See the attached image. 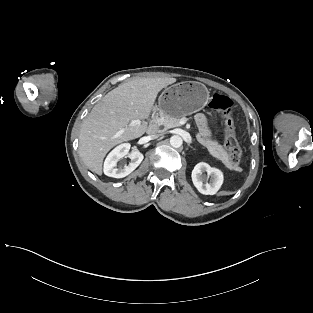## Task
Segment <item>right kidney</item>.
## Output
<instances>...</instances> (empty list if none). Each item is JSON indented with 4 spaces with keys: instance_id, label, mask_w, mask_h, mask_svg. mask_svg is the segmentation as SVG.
<instances>
[{
    "instance_id": "ca27d5eb",
    "label": "right kidney",
    "mask_w": 313,
    "mask_h": 313,
    "mask_svg": "<svg viewBox=\"0 0 313 313\" xmlns=\"http://www.w3.org/2000/svg\"><path fill=\"white\" fill-rule=\"evenodd\" d=\"M130 149L129 143H123L112 150L104 162V174L109 177L123 178L133 172L142 162L144 156L139 151L128 153ZM128 155L131 162L128 165H120L117 167L119 159Z\"/></svg>"
}]
</instances>
